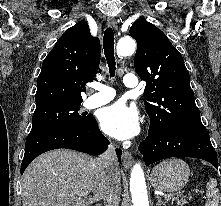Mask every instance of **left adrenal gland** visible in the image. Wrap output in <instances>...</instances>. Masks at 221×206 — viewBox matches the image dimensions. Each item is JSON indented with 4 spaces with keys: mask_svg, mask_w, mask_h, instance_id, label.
<instances>
[{
    "mask_svg": "<svg viewBox=\"0 0 221 206\" xmlns=\"http://www.w3.org/2000/svg\"><path fill=\"white\" fill-rule=\"evenodd\" d=\"M165 205V202H163L162 200H161V198L159 197V196H157V206H161V205Z\"/></svg>",
    "mask_w": 221,
    "mask_h": 206,
    "instance_id": "a2214340",
    "label": "left adrenal gland"
}]
</instances>
